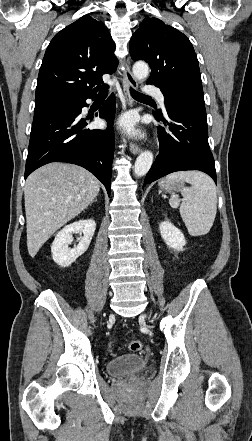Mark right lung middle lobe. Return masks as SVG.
<instances>
[{"instance_id":"right-lung-middle-lobe-1","label":"right lung middle lobe","mask_w":252,"mask_h":441,"mask_svg":"<svg viewBox=\"0 0 252 441\" xmlns=\"http://www.w3.org/2000/svg\"><path fill=\"white\" fill-rule=\"evenodd\" d=\"M49 101H50V99L35 103V110L42 107V106L48 105Z\"/></svg>"}]
</instances>
